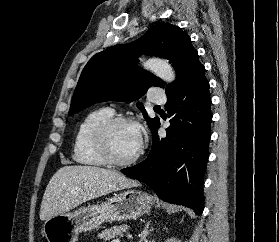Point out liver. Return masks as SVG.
Here are the masks:
<instances>
[{"label":"liver","mask_w":279,"mask_h":242,"mask_svg":"<svg viewBox=\"0 0 279 242\" xmlns=\"http://www.w3.org/2000/svg\"><path fill=\"white\" fill-rule=\"evenodd\" d=\"M138 186L117 171L93 166H64L50 179L43 195L40 219L47 220L88 200Z\"/></svg>","instance_id":"6515ba94"}]
</instances>
